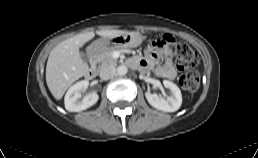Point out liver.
Instances as JSON below:
<instances>
[{"label": "liver", "mask_w": 258, "mask_h": 158, "mask_svg": "<svg viewBox=\"0 0 258 158\" xmlns=\"http://www.w3.org/2000/svg\"><path fill=\"white\" fill-rule=\"evenodd\" d=\"M96 33L103 38H110L127 31L102 30ZM94 36V32L77 34L51 50L46 65V83L55 99L60 100L76 80L87 74L89 68L82 60L79 49Z\"/></svg>", "instance_id": "obj_1"}]
</instances>
